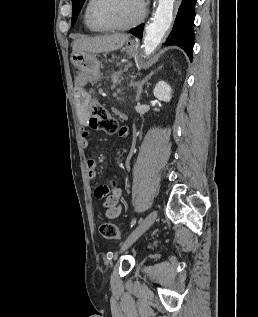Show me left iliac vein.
I'll list each match as a JSON object with an SVG mask.
<instances>
[{
	"mask_svg": "<svg viewBox=\"0 0 258 317\" xmlns=\"http://www.w3.org/2000/svg\"><path fill=\"white\" fill-rule=\"evenodd\" d=\"M155 218H157L156 211H151L147 217L128 235V238H126V243H124V247H121L122 252H127V248L129 246H132V241H138L139 236H142L144 232L147 231L148 228L151 227L152 224L155 223Z\"/></svg>",
	"mask_w": 258,
	"mask_h": 317,
	"instance_id": "1",
	"label": "left iliac vein"
}]
</instances>
